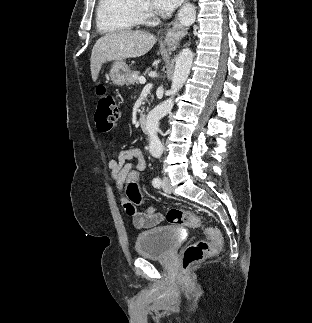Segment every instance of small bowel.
<instances>
[{
	"instance_id": "small-bowel-1",
	"label": "small bowel",
	"mask_w": 312,
	"mask_h": 323,
	"mask_svg": "<svg viewBox=\"0 0 312 323\" xmlns=\"http://www.w3.org/2000/svg\"><path fill=\"white\" fill-rule=\"evenodd\" d=\"M132 160H135V162L132 163ZM124 167H138L139 171L143 172L146 168V160L143 151L138 147L126 148L119 152L117 158L111 159L108 162L111 177L115 181L122 199H125L123 196V187L125 185L123 177L128 176V174L123 173ZM132 216L133 225L139 229L155 227L161 223L163 219L161 213L157 210H144V212L133 214Z\"/></svg>"
}]
</instances>
